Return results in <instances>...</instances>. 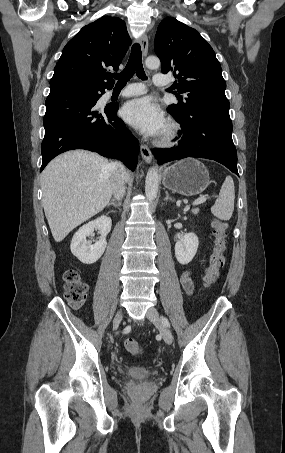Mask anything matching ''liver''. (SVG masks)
<instances>
[{"label": "liver", "mask_w": 285, "mask_h": 453, "mask_svg": "<svg viewBox=\"0 0 285 453\" xmlns=\"http://www.w3.org/2000/svg\"><path fill=\"white\" fill-rule=\"evenodd\" d=\"M114 177L106 158L85 150L61 154L46 166L41 176L42 203L56 242L107 206Z\"/></svg>", "instance_id": "6515ba94"}]
</instances>
